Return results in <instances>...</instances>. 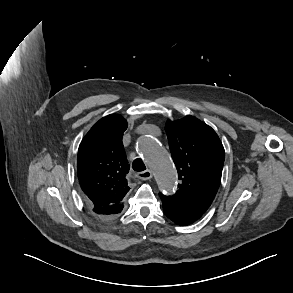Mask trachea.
<instances>
[{
	"mask_svg": "<svg viewBox=\"0 0 293 293\" xmlns=\"http://www.w3.org/2000/svg\"><path fill=\"white\" fill-rule=\"evenodd\" d=\"M132 168L137 172H141L146 169V166L140 158H137L133 161Z\"/></svg>",
	"mask_w": 293,
	"mask_h": 293,
	"instance_id": "trachea-1",
	"label": "trachea"
}]
</instances>
